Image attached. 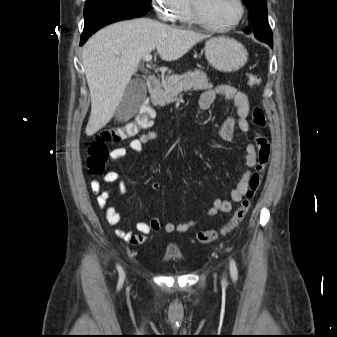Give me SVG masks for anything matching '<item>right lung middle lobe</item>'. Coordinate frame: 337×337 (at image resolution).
<instances>
[{"mask_svg":"<svg viewBox=\"0 0 337 337\" xmlns=\"http://www.w3.org/2000/svg\"><path fill=\"white\" fill-rule=\"evenodd\" d=\"M110 6L149 11L151 0H87L84 7V17L91 12Z\"/></svg>","mask_w":337,"mask_h":337,"instance_id":"1","label":"right lung middle lobe"}]
</instances>
